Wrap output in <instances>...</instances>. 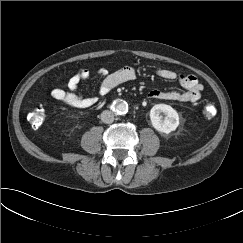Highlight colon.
I'll return each mask as SVG.
<instances>
[{"mask_svg": "<svg viewBox=\"0 0 243 243\" xmlns=\"http://www.w3.org/2000/svg\"><path fill=\"white\" fill-rule=\"evenodd\" d=\"M203 114L207 118H212L216 114V108L213 104L207 103L203 107ZM28 121L31 124L32 127L38 128L39 126L42 125L44 121V110L42 107H38L33 109L29 114H28Z\"/></svg>", "mask_w": 243, "mask_h": 243, "instance_id": "5ec220e1", "label": "colon"}]
</instances>
